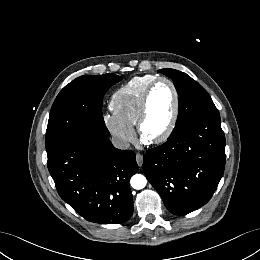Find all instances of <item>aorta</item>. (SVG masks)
I'll list each match as a JSON object with an SVG mask.
<instances>
[{
    "label": "aorta",
    "instance_id": "aorta-1",
    "mask_svg": "<svg viewBox=\"0 0 260 260\" xmlns=\"http://www.w3.org/2000/svg\"><path fill=\"white\" fill-rule=\"evenodd\" d=\"M130 184L136 190L143 189L147 184V179L142 174H135L131 177Z\"/></svg>",
    "mask_w": 260,
    "mask_h": 260
}]
</instances>
